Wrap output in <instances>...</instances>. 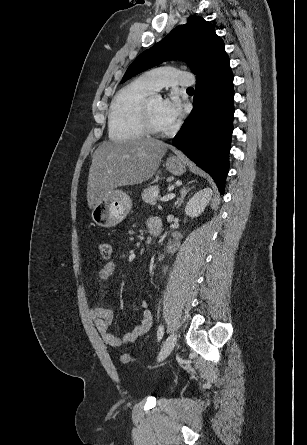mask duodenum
Instances as JSON below:
<instances>
[{"instance_id":"obj_1","label":"duodenum","mask_w":307,"mask_h":445,"mask_svg":"<svg viewBox=\"0 0 307 445\" xmlns=\"http://www.w3.org/2000/svg\"><path fill=\"white\" fill-rule=\"evenodd\" d=\"M159 234H160V231H159V230H156V229L151 230V231H150L151 240H153L154 238L158 237Z\"/></svg>"}]
</instances>
